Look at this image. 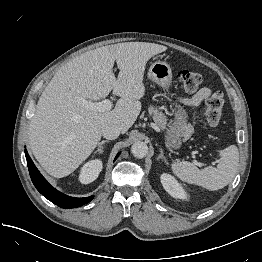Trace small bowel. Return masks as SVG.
Wrapping results in <instances>:
<instances>
[{
  "instance_id": "1",
  "label": "small bowel",
  "mask_w": 262,
  "mask_h": 262,
  "mask_svg": "<svg viewBox=\"0 0 262 262\" xmlns=\"http://www.w3.org/2000/svg\"><path fill=\"white\" fill-rule=\"evenodd\" d=\"M211 89L208 87H203L199 89L195 94L189 98H185L182 102L189 106L199 105L201 102L206 100L211 95Z\"/></svg>"
}]
</instances>
